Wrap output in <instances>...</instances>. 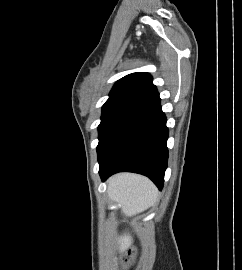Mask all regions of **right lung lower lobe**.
<instances>
[{
    "mask_svg": "<svg viewBox=\"0 0 242 270\" xmlns=\"http://www.w3.org/2000/svg\"><path fill=\"white\" fill-rule=\"evenodd\" d=\"M168 128L159 96L138 106L98 157L102 181L116 172L149 177L161 190L167 168Z\"/></svg>",
    "mask_w": 242,
    "mask_h": 270,
    "instance_id": "obj_1",
    "label": "right lung lower lobe"
}]
</instances>
